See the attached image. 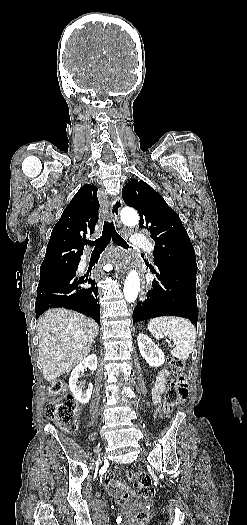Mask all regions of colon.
I'll list each match as a JSON object with an SVG mask.
<instances>
[{"label":"colon","mask_w":247,"mask_h":525,"mask_svg":"<svg viewBox=\"0 0 247 525\" xmlns=\"http://www.w3.org/2000/svg\"><path fill=\"white\" fill-rule=\"evenodd\" d=\"M171 366L174 372L173 379L169 381L164 398V410L171 412L176 403H182L188 396V378L185 373L184 362L173 357ZM66 386L60 381H54L49 385V393L54 398L45 407V416L62 425L66 430H73L77 426V405L74 399L65 394ZM128 480L133 481L139 487V494L144 502H149L155 495L156 487L149 475L144 472L128 471ZM152 511L145 507L137 513L140 521L151 518Z\"/></svg>","instance_id":"1"}]
</instances>
